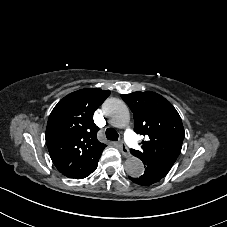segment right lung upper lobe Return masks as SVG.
Wrapping results in <instances>:
<instances>
[{
    "instance_id": "cb5924a9",
    "label": "right lung upper lobe",
    "mask_w": 227,
    "mask_h": 227,
    "mask_svg": "<svg viewBox=\"0 0 227 227\" xmlns=\"http://www.w3.org/2000/svg\"><path fill=\"white\" fill-rule=\"evenodd\" d=\"M110 95L98 88L81 89L65 96L52 110L46 128V144L58 170H64L80 155L86 164L100 158L105 144L97 139L99 128L93 113Z\"/></svg>"
}]
</instances>
